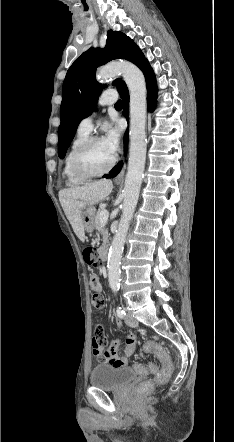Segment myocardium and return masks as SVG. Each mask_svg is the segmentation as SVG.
<instances>
[{"label":"myocardium","mask_w":234,"mask_h":442,"mask_svg":"<svg viewBox=\"0 0 234 442\" xmlns=\"http://www.w3.org/2000/svg\"><path fill=\"white\" fill-rule=\"evenodd\" d=\"M102 140L99 136H90L82 142V144L76 149L72 157V167L74 172L85 179L96 178L109 173L116 164V156H113L110 164L101 171H91L84 165V156L89 148L95 143Z\"/></svg>","instance_id":"obj_1"}]
</instances>
